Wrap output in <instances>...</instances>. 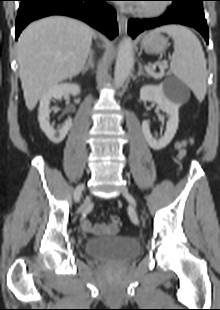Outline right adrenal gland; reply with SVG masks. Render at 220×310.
Here are the masks:
<instances>
[{"instance_id": "right-adrenal-gland-1", "label": "right adrenal gland", "mask_w": 220, "mask_h": 310, "mask_svg": "<svg viewBox=\"0 0 220 310\" xmlns=\"http://www.w3.org/2000/svg\"><path fill=\"white\" fill-rule=\"evenodd\" d=\"M89 68L94 69V53H93V51L89 52V57H88L87 63L84 66V68L82 69V74L84 75L88 71Z\"/></svg>"}]
</instances>
